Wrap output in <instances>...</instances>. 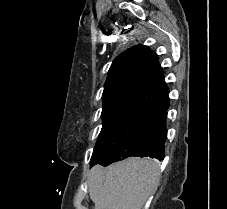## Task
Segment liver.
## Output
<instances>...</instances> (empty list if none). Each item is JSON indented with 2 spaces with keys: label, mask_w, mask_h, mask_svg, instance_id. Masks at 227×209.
I'll return each instance as SVG.
<instances>
[{
  "label": "liver",
  "mask_w": 227,
  "mask_h": 209,
  "mask_svg": "<svg viewBox=\"0 0 227 209\" xmlns=\"http://www.w3.org/2000/svg\"><path fill=\"white\" fill-rule=\"evenodd\" d=\"M159 161L135 159L110 167H92L88 175L89 197L95 209H142L159 183Z\"/></svg>",
  "instance_id": "obj_1"
}]
</instances>
